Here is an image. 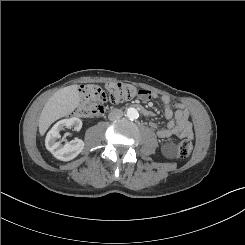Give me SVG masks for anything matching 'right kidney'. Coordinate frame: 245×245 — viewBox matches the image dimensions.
I'll use <instances>...</instances> for the list:
<instances>
[{
    "label": "right kidney",
    "instance_id": "obj_1",
    "mask_svg": "<svg viewBox=\"0 0 245 245\" xmlns=\"http://www.w3.org/2000/svg\"><path fill=\"white\" fill-rule=\"evenodd\" d=\"M79 131L82 127V121L77 117L63 119L58 121L52 129L47 133L45 146L53 156L61 161H70L77 157L84 149V142L81 139H74L70 142L61 144L57 141L60 138V131L64 128H71Z\"/></svg>",
    "mask_w": 245,
    "mask_h": 245
}]
</instances>
